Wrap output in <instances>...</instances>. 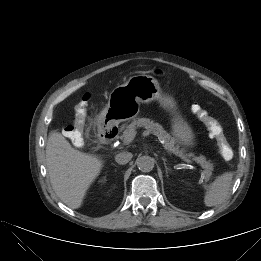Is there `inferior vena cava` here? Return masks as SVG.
<instances>
[{"label":"inferior vena cava","mask_w":261,"mask_h":261,"mask_svg":"<svg viewBox=\"0 0 261 261\" xmlns=\"http://www.w3.org/2000/svg\"><path fill=\"white\" fill-rule=\"evenodd\" d=\"M132 159V154L130 152H120L115 156V161L118 164L124 165Z\"/></svg>","instance_id":"inferior-vena-cava-1"}]
</instances>
